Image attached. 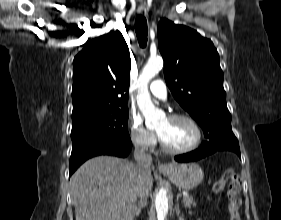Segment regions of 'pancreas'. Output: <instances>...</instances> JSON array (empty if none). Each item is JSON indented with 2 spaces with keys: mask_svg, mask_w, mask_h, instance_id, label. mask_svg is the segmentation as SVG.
<instances>
[{
  "mask_svg": "<svg viewBox=\"0 0 281 220\" xmlns=\"http://www.w3.org/2000/svg\"><path fill=\"white\" fill-rule=\"evenodd\" d=\"M183 204L185 207L190 208L191 206H195L196 203L192 196L188 195L183 198Z\"/></svg>",
  "mask_w": 281,
  "mask_h": 220,
  "instance_id": "obj_1",
  "label": "pancreas"
}]
</instances>
